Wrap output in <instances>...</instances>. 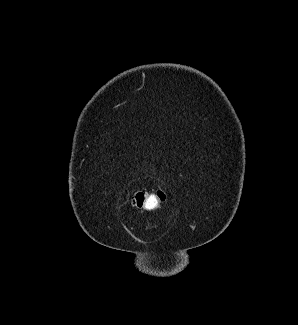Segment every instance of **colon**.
I'll return each instance as SVG.
<instances>
[{
    "instance_id": "colon-1",
    "label": "colon",
    "mask_w": 298,
    "mask_h": 325,
    "mask_svg": "<svg viewBox=\"0 0 298 325\" xmlns=\"http://www.w3.org/2000/svg\"><path fill=\"white\" fill-rule=\"evenodd\" d=\"M166 198L163 190L137 191L132 196L133 205L141 210L154 213L159 210Z\"/></svg>"
}]
</instances>
